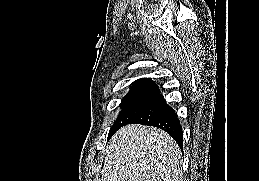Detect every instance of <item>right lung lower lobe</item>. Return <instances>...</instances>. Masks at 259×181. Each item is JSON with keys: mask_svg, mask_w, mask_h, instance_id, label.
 I'll return each mask as SVG.
<instances>
[{"mask_svg": "<svg viewBox=\"0 0 259 181\" xmlns=\"http://www.w3.org/2000/svg\"><path fill=\"white\" fill-rule=\"evenodd\" d=\"M131 123L161 128L166 131L180 147H182L183 132L177 114L172 107L166 104L160 92L151 104L129 124ZM114 133L108 136V139Z\"/></svg>", "mask_w": 259, "mask_h": 181, "instance_id": "1", "label": "right lung lower lobe"}]
</instances>
